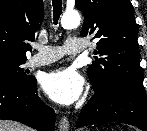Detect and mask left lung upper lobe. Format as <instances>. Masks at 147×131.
<instances>
[{
  "mask_svg": "<svg viewBox=\"0 0 147 131\" xmlns=\"http://www.w3.org/2000/svg\"><path fill=\"white\" fill-rule=\"evenodd\" d=\"M84 15L82 36L98 38L96 57L88 68V77L96 92L130 87L145 91L138 27L129 0H75Z\"/></svg>",
  "mask_w": 147,
  "mask_h": 131,
  "instance_id": "1",
  "label": "left lung upper lobe"
}]
</instances>
